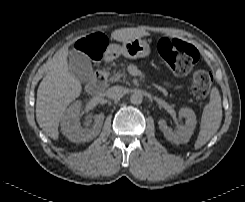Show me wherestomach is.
<instances>
[{
	"instance_id": "obj_1",
	"label": "stomach",
	"mask_w": 245,
	"mask_h": 202,
	"mask_svg": "<svg viewBox=\"0 0 245 202\" xmlns=\"http://www.w3.org/2000/svg\"><path fill=\"white\" fill-rule=\"evenodd\" d=\"M113 57L120 54L130 59L144 58L149 56L151 50L147 41L141 38H134L122 43V45L112 44L109 48Z\"/></svg>"
}]
</instances>
